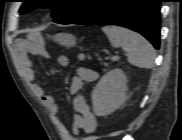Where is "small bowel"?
I'll return each mask as SVG.
<instances>
[{
    "label": "small bowel",
    "mask_w": 182,
    "mask_h": 140,
    "mask_svg": "<svg viewBox=\"0 0 182 140\" xmlns=\"http://www.w3.org/2000/svg\"><path fill=\"white\" fill-rule=\"evenodd\" d=\"M19 62L24 69V75L27 81L32 85L34 93L40 98L44 107H46L51 115L56 116L58 114V104L54 97V93H45L44 88L35 83L36 73L33 60L30 54L45 55V49L42 42L36 39L35 42H29L27 40L19 41ZM78 61L84 60V55L79 54ZM58 65L65 67L68 65L69 60L65 55H59L57 57ZM98 78V73L81 67L77 70V74L72 78L70 84V92L74 94L73 108L75 111L73 117V135H78L80 130H83L86 134L93 133L97 128V120L93 114L86 98L83 95L77 94L85 82H93Z\"/></svg>",
    "instance_id": "small-bowel-1"
}]
</instances>
